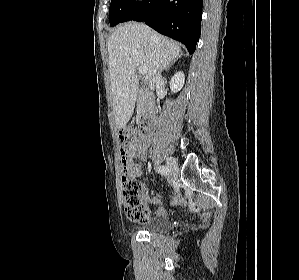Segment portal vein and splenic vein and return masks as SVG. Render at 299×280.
Returning a JSON list of instances; mask_svg holds the SVG:
<instances>
[{"mask_svg": "<svg viewBox=\"0 0 299 280\" xmlns=\"http://www.w3.org/2000/svg\"><path fill=\"white\" fill-rule=\"evenodd\" d=\"M138 72L142 75H146L147 74V68L145 66H139L137 68Z\"/></svg>", "mask_w": 299, "mask_h": 280, "instance_id": "obj_1", "label": "portal vein and splenic vein"}]
</instances>
